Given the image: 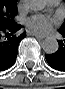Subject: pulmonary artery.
<instances>
[{
	"label": "pulmonary artery",
	"mask_w": 65,
	"mask_h": 89,
	"mask_svg": "<svg viewBox=\"0 0 65 89\" xmlns=\"http://www.w3.org/2000/svg\"><path fill=\"white\" fill-rule=\"evenodd\" d=\"M48 2L50 5H56L57 4V0H49Z\"/></svg>",
	"instance_id": "1"
}]
</instances>
